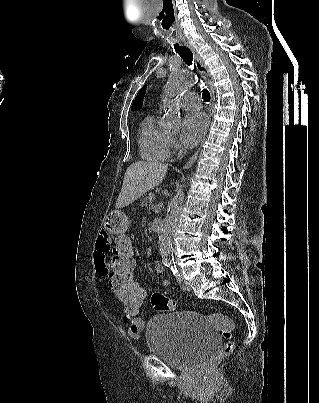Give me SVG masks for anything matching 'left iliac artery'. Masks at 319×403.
Here are the masks:
<instances>
[{"instance_id":"obj_1","label":"left iliac artery","mask_w":319,"mask_h":403,"mask_svg":"<svg viewBox=\"0 0 319 403\" xmlns=\"http://www.w3.org/2000/svg\"><path fill=\"white\" fill-rule=\"evenodd\" d=\"M170 269H171L172 273H173L176 277L180 275V274L178 273V269H177V267H176V265H175L174 262L172 263Z\"/></svg>"}]
</instances>
